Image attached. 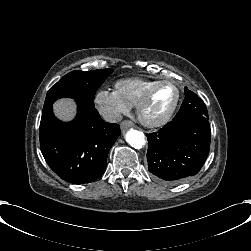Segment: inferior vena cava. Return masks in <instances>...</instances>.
Instances as JSON below:
<instances>
[{"label":"inferior vena cava","mask_w":251,"mask_h":251,"mask_svg":"<svg viewBox=\"0 0 251 251\" xmlns=\"http://www.w3.org/2000/svg\"><path fill=\"white\" fill-rule=\"evenodd\" d=\"M102 116L107 122H119L123 119V116L121 114L107 110L102 112Z\"/></svg>","instance_id":"1"}]
</instances>
